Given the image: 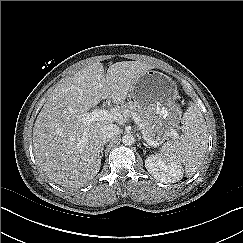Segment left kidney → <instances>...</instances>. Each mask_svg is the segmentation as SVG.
I'll return each mask as SVG.
<instances>
[{"label":"left kidney","instance_id":"obj_1","mask_svg":"<svg viewBox=\"0 0 243 243\" xmlns=\"http://www.w3.org/2000/svg\"><path fill=\"white\" fill-rule=\"evenodd\" d=\"M148 172L158 181L175 183L183 177V168L175 160H165L157 155H151L145 160Z\"/></svg>","mask_w":243,"mask_h":243}]
</instances>
